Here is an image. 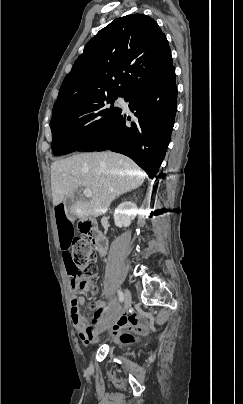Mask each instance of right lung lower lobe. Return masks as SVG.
Wrapping results in <instances>:
<instances>
[{
  "mask_svg": "<svg viewBox=\"0 0 243 404\" xmlns=\"http://www.w3.org/2000/svg\"><path fill=\"white\" fill-rule=\"evenodd\" d=\"M124 98L134 112L132 120L120 109L101 132L76 151L122 153L132 158L153 179L165 157L176 115L175 67L135 88ZM128 121L131 123L126 125Z\"/></svg>",
  "mask_w": 243,
  "mask_h": 404,
  "instance_id": "right-lung-lower-lobe-1",
  "label": "right lung lower lobe"
}]
</instances>
